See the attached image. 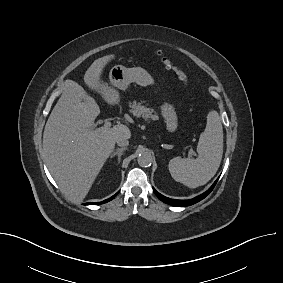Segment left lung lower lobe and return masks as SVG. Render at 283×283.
<instances>
[{"instance_id":"obj_1","label":"left lung lower lobe","mask_w":283,"mask_h":283,"mask_svg":"<svg viewBox=\"0 0 283 283\" xmlns=\"http://www.w3.org/2000/svg\"><path fill=\"white\" fill-rule=\"evenodd\" d=\"M217 181H218V179L214 182V184L206 192H204L203 194H201V195H199V196H197V197H195L193 199H190V200L171 199V198H168V197H165V196L161 195L154 188H153V191L156 194V196L161 201H163L164 203H167L169 205L176 206V207H184V206L193 205V204L201 201L202 199H204L206 196H208L211 193V191L213 190V188L216 185Z\"/></svg>"}]
</instances>
